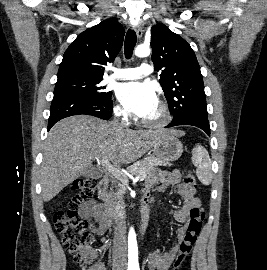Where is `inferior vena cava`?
Listing matches in <instances>:
<instances>
[{
  "label": "inferior vena cava",
  "mask_w": 267,
  "mask_h": 270,
  "mask_svg": "<svg viewBox=\"0 0 267 270\" xmlns=\"http://www.w3.org/2000/svg\"><path fill=\"white\" fill-rule=\"evenodd\" d=\"M113 124L121 127L127 128L128 121L125 118H122V114H119L116 119H114ZM111 211L116 216L115 225H114V243L116 246V261L121 265H126V235H125V222L124 215L125 211L123 206L118 201H114L111 205Z\"/></svg>",
  "instance_id": "obj_1"
}]
</instances>
